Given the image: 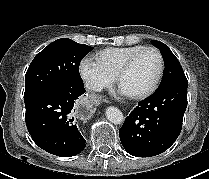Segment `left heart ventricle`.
Returning <instances> with one entry per match:
<instances>
[{
	"label": "left heart ventricle",
	"mask_w": 209,
	"mask_h": 179,
	"mask_svg": "<svg viewBox=\"0 0 209 179\" xmlns=\"http://www.w3.org/2000/svg\"><path fill=\"white\" fill-rule=\"evenodd\" d=\"M159 70V58L153 51L143 53L121 78L120 88L128 95L147 89L154 81Z\"/></svg>",
	"instance_id": "obj_1"
}]
</instances>
